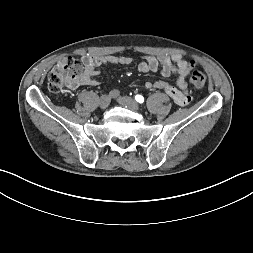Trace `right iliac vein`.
I'll return each instance as SVG.
<instances>
[{
    "instance_id": "1",
    "label": "right iliac vein",
    "mask_w": 253,
    "mask_h": 253,
    "mask_svg": "<svg viewBox=\"0 0 253 253\" xmlns=\"http://www.w3.org/2000/svg\"><path fill=\"white\" fill-rule=\"evenodd\" d=\"M110 97L108 95H102L99 99V106L103 109L107 108L110 104Z\"/></svg>"
}]
</instances>
